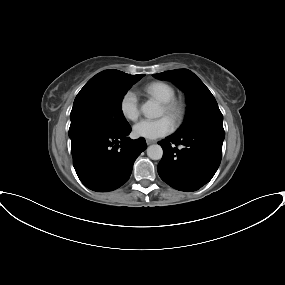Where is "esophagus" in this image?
Listing matches in <instances>:
<instances>
[{"label": "esophagus", "instance_id": "1", "mask_svg": "<svg viewBox=\"0 0 285 285\" xmlns=\"http://www.w3.org/2000/svg\"><path fill=\"white\" fill-rule=\"evenodd\" d=\"M146 143H147V145H150V144L155 143V141L154 140H150V139H146Z\"/></svg>", "mask_w": 285, "mask_h": 285}]
</instances>
